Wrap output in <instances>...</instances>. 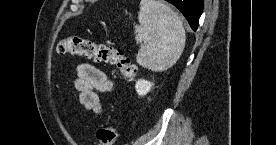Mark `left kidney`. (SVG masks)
<instances>
[{
  "label": "left kidney",
  "mask_w": 276,
  "mask_h": 145,
  "mask_svg": "<svg viewBox=\"0 0 276 145\" xmlns=\"http://www.w3.org/2000/svg\"><path fill=\"white\" fill-rule=\"evenodd\" d=\"M151 87L152 83L145 79H139L136 81L135 89L140 96L146 95L150 91Z\"/></svg>",
  "instance_id": "left-kidney-1"
}]
</instances>
